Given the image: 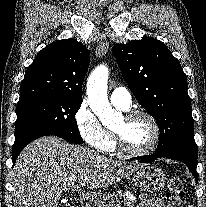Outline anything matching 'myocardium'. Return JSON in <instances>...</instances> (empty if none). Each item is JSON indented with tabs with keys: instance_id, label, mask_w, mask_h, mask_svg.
I'll list each match as a JSON object with an SVG mask.
<instances>
[{
	"instance_id": "obj_1",
	"label": "myocardium",
	"mask_w": 206,
	"mask_h": 207,
	"mask_svg": "<svg viewBox=\"0 0 206 207\" xmlns=\"http://www.w3.org/2000/svg\"><path fill=\"white\" fill-rule=\"evenodd\" d=\"M137 118L147 119L153 129V136H152L151 142L149 143V145L146 148L141 149V150L129 149L125 145L121 134L119 132H117L116 130L113 131L116 145H117L119 151L128 157H142V156H146V155L150 154L158 145L160 137H161V129H160L159 123L151 113L144 111V110H133V111L126 113L123 116V119L127 122L132 121Z\"/></svg>"
}]
</instances>
